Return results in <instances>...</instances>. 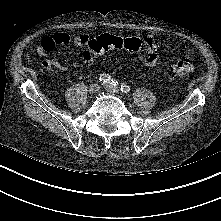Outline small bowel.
Masks as SVG:
<instances>
[{
    "label": "small bowel",
    "instance_id": "small-bowel-1",
    "mask_svg": "<svg viewBox=\"0 0 221 221\" xmlns=\"http://www.w3.org/2000/svg\"><path fill=\"white\" fill-rule=\"evenodd\" d=\"M92 39L93 37L88 34H76L73 37H70L65 33H58L43 38L41 45L37 47V53L45 58L42 62V67L46 70L57 69L59 71H65L67 65L48 57L49 52H51L57 45L68 44L70 42L76 46H87ZM143 41L145 50L143 64L147 67H153L158 62V43L151 36L145 37ZM84 54L85 52L82 56L83 62L87 65H93L94 58L91 56H84Z\"/></svg>",
    "mask_w": 221,
    "mask_h": 221
}]
</instances>
